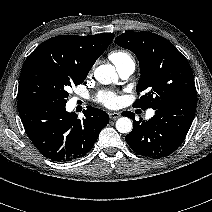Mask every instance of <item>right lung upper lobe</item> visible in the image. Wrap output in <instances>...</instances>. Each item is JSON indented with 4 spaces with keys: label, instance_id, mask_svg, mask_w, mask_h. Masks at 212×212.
Segmentation results:
<instances>
[{
    "label": "right lung upper lobe",
    "instance_id": "right-lung-upper-lobe-1",
    "mask_svg": "<svg viewBox=\"0 0 212 212\" xmlns=\"http://www.w3.org/2000/svg\"><path fill=\"white\" fill-rule=\"evenodd\" d=\"M114 37L113 33L52 37L27 57L22 70L31 65L43 64L78 77H86L96 59L110 45Z\"/></svg>",
    "mask_w": 212,
    "mask_h": 212
}]
</instances>
